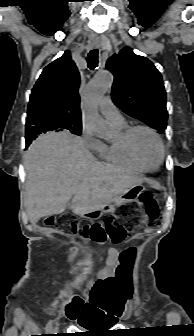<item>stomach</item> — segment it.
Returning a JSON list of instances; mask_svg holds the SVG:
<instances>
[{"instance_id":"obj_1","label":"stomach","mask_w":194,"mask_h":336,"mask_svg":"<svg viewBox=\"0 0 194 336\" xmlns=\"http://www.w3.org/2000/svg\"><path fill=\"white\" fill-rule=\"evenodd\" d=\"M144 189V186L142 184L133 187L130 189L128 192L122 194L119 196V198L112 204H106L102 206L99 209L89 211V212H84L80 214L81 217L84 218H89V219H97L99 218L104 212H111L114 211L115 206L125 203V202H130L133 201L137 198L138 194Z\"/></svg>"}]
</instances>
